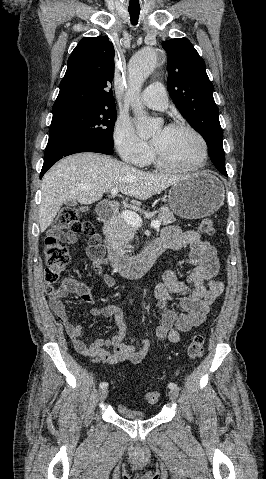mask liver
<instances>
[{
  "mask_svg": "<svg viewBox=\"0 0 266 479\" xmlns=\"http://www.w3.org/2000/svg\"><path fill=\"white\" fill-rule=\"evenodd\" d=\"M185 178L147 173L97 153L68 156L56 163L42 179L40 231L44 232L51 225L66 201L92 204L112 188H118L135 199L147 200ZM132 202L140 204L136 200Z\"/></svg>",
  "mask_w": 266,
  "mask_h": 479,
  "instance_id": "6515ba94",
  "label": "liver"
}]
</instances>
